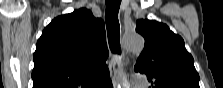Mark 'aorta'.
<instances>
[{
  "mask_svg": "<svg viewBox=\"0 0 223 88\" xmlns=\"http://www.w3.org/2000/svg\"><path fill=\"white\" fill-rule=\"evenodd\" d=\"M123 45L125 49L132 53H140L144 48V39L137 33L127 34L123 38ZM119 86L127 84V75L125 71H121L118 76Z\"/></svg>",
  "mask_w": 223,
  "mask_h": 88,
  "instance_id": "aorta-1",
  "label": "aorta"
}]
</instances>
